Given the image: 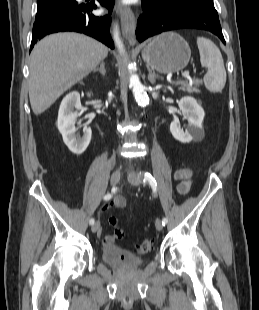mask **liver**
<instances>
[{"instance_id":"obj_1","label":"liver","mask_w":259,"mask_h":310,"mask_svg":"<svg viewBox=\"0 0 259 310\" xmlns=\"http://www.w3.org/2000/svg\"><path fill=\"white\" fill-rule=\"evenodd\" d=\"M107 55L105 45L82 34L65 32L43 38L30 56L29 99L34 114L47 110Z\"/></svg>"}]
</instances>
